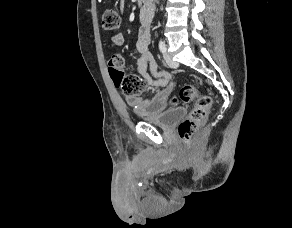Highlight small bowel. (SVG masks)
Returning <instances> with one entry per match:
<instances>
[{"label":"small bowel","mask_w":292,"mask_h":228,"mask_svg":"<svg viewBox=\"0 0 292 228\" xmlns=\"http://www.w3.org/2000/svg\"><path fill=\"white\" fill-rule=\"evenodd\" d=\"M121 7H123V2L121 3ZM152 17L153 12L151 7H145L141 10V26L136 42L138 63L135 71L140 75L143 82L140 94L147 88H155L156 91L150 97H142L140 94L127 97L129 105L140 116H154L163 112L166 109L167 98L173 90L171 73L167 70H158L157 63L149 49L151 43L150 24ZM112 40L118 46L124 43L121 34H115Z\"/></svg>","instance_id":"1"}]
</instances>
